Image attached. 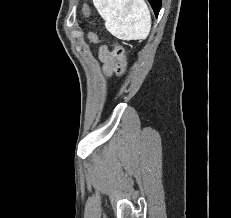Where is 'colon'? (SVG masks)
I'll use <instances>...</instances> for the list:
<instances>
[{
	"mask_svg": "<svg viewBox=\"0 0 231 218\" xmlns=\"http://www.w3.org/2000/svg\"><path fill=\"white\" fill-rule=\"evenodd\" d=\"M85 14L89 13V9L86 7L84 9ZM113 56L116 59V72L118 75H121L124 73L126 67H127V61H126V51L125 48L119 44L115 43L114 44V49H113Z\"/></svg>",
	"mask_w": 231,
	"mask_h": 218,
	"instance_id": "obj_1",
	"label": "colon"
}]
</instances>
